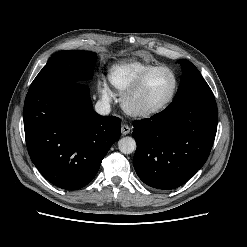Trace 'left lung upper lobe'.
<instances>
[{
	"mask_svg": "<svg viewBox=\"0 0 247 247\" xmlns=\"http://www.w3.org/2000/svg\"><path fill=\"white\" fill-rule=\"evenodd\" d=\"M178 63L182 67L183 75L175 99L196 92L212 93L210 87L194 64L186 59H180L178 60Z\"/></svg>",
	"mask_w": 247,
	"mask_h": 247,
	"instance_id": "5c2ea615",
	"label": "left lung upper lobe"
}]
</instances>
